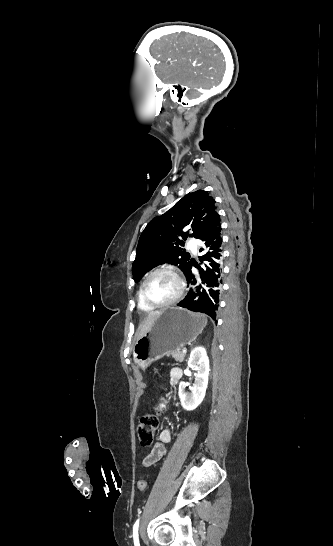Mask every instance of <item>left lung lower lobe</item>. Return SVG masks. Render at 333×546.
I'll return each instance as SVG.
<instances>
[{"label": "left lung lower lobe", "instance_id": "1", "mask_svg": "<svg viewBox=\"0 0 333 546\" xmlns=\"http://www.w3.org/2000/svg\"><path fill=\"white\" fill-rule=\"evenodd\" d=\"M220 232V216L217 215L211 225L198 238L203 244L200 251H204V254L199 258L203 267L198 266L201 281H196L192 275V264L186 274L187 283L191 284V288L185 299L178 304V306L191 311L205 313L213 320L216 319L219 308L222 284Z\"/></svg>", "mask_w": 333, "mask_h": 546}]
</instances>
